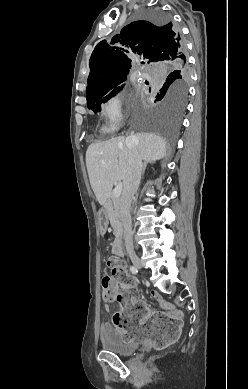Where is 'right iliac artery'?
Instances as JSON below:
<instances>
[{"label":"right iliac artery","mask_w":248,"mask_h":389,"mask_svg":"<svg viewBox=\"0 0 248 389\" xmlns=\"http://www.w3.org/2000/svg\"><path fill=\"white\" fill-rule=\"evenodd\" d=\"M130 271L133 273V274H136L138 272L137 268L134 267V266H131L130 267Z\"/></svg>","instance_id":"right-iliac-artery-1"}]
</instances>
